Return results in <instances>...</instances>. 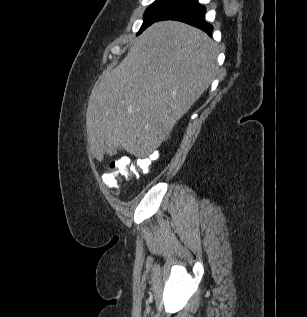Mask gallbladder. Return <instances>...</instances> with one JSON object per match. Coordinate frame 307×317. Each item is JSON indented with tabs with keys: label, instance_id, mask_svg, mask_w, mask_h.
I'll return each instance as SVG.
<instances>
[{
	"label": "gallbladder",
	"instance_id": "gallbladder-1",
	"mask_svg": "<svg viewBox=\"0 0 307 317\" xmlns=\"http://www.w3.org/2000/svg\"><path fill=\"white\" fill-rule=\"evenodd\" d=\"M116 153H117V150L115 149L110 153V156L115 155Z\"/></svg>",
	"mask_w": 307,
	"mask_h": 317
}]
</instances>
